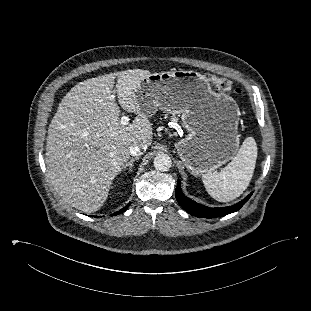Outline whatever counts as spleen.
<instances>
[{
  "mask_svg": "<svg viewBox=\"0 0 311 311\" xmlns=\"http://www.w3.org/2000/svg\"><path fill=\"white\" fill-rule=\"evenodd\" d=\"M257 159V145L253 137H247L237 155L220 172L202 175L208 194L219 202L239 197L249 186Z\"/></svg>",
  "mask_w": 311,
  "mask_h": 311,
  "instance_id": "obj_1",
  "label": "spleen"
}]
</instances>
